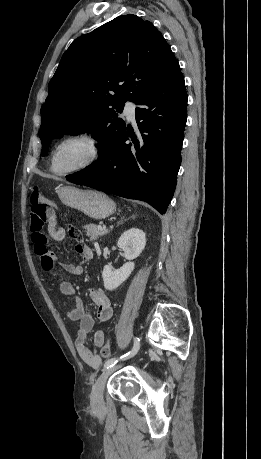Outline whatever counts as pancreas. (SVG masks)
<instances>
[{"mask_svg": "<svg viewBox=\"0 0 261 459\" xmlns=\"http://www.w3.org/2000/svg\"><path fill=\"white\" fill-rule=\"evenodd\" d=\"M83 228L86 231V236H88L91 241L96 240L99 237L107 234V231L98 229V227L95 224L84 225Z\"/></svg>", "mask_w": 261, "mask_h": 459, "instance_id": "1", "label": "pancreas"}]
</instances>
